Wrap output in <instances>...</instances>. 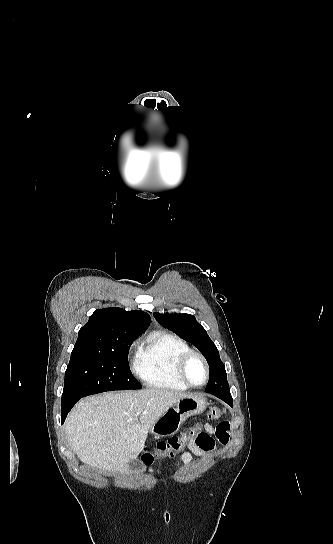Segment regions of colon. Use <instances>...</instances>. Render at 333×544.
<instances>
[{
	"instance_id": "5ec220e1",
	"label": "colon",
	"mask_w": 333,
	"mask_h": 544,
	"mask_svg": "<svg viewBox=\"0 0 333 544\" xmlns=\"http://www.w3.org/2000/svg\"><path fill=\"white\" fill-rule=\"evenodd\" d=\"M224 409L220 407H210L207 416L211 420H216L224 414ZM202 434L201 427L195 425L188 428L181 436H174L165 441H159L154 448L145 449L141 454L143 463L152 466L157 459L169 458L182 451L185 445L198 438Z\"/></svg>"
}]
</instances>
